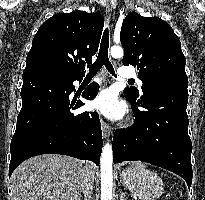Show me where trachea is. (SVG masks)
Returning <instances> with one entry per match:
<instances>
[{
    "label": "trachea",
    "instance_id": "3493384b",
    "mask_svg": "<svg viewBox=\"0 0 205 200\" xmlns=\"http://www.w3.org/2000/svg\"><path fill=\"white\" fill-rule=\"evenodd\" d=\"M108 48H109V32L108 29L106 28L104 30L101 44H100V49L98 53V57L96 61L88 66V76H94L96 73L101 69V67L104 65L106 69L116 77L115 71L113 66L111 65L109 58H108ZM129 83H132V80L128 81Z\"/></svg>",
    "mask_w": 205,
    "mask_h": 200
}]
</instances>
